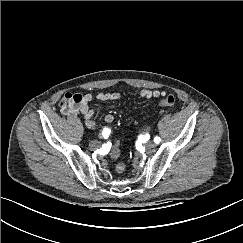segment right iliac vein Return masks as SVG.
<instances>
[{
    "instance_id": "right-iliac-vein-1",
    "label": "right iliac vein",
    "mask_w": 243,
    "mask_h": 243,
    "mask_svg": "<svg viewBox=\"0 0 243 243\" xmlns=\"http://www.w3.org/2000/svg\"><path fill=\"white\" fill-rule=\"evenodd\" d=\"M91 149H97L100 147V143L97 140L91 141L89 144Z\"/></svg>"
}]
</instances>
